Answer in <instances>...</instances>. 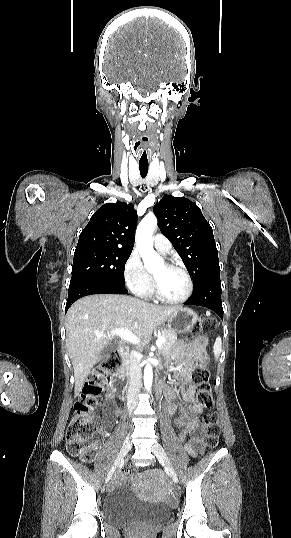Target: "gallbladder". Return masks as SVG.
<instances>
[{"label": "gallbladder", "instance_id": "1", "mask_svg": "<svg viewBox=\"0 0 291 538\" xmlns=\"http://www.w3.org/2000/svg\"><path fill=\"white\" fill-rule=\"evenodd\" d=\"M118 347L117 343L115 342H110L108 343L105 348L103 349L102 353H101V358H100V361H103L105 360L106 358H108L110 356V354L116 350Z\"/></svg>", "mask_w": 291, "mask_h": 538}]
</instances>
